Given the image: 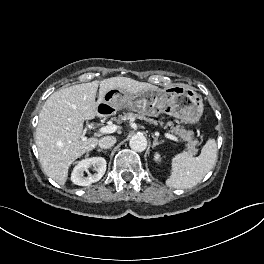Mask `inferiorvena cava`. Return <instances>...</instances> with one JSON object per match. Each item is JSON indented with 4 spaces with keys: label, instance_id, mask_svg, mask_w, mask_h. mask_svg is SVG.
I'll list each match as a JSON object with an SVG mask.
<instances>
[{
    "label": "inferior vena cava",
    "instance_id": "1",
    "mask_svg": "<svg viewBox=\"0 0 264 264\" xmlns=\"http://www.w3.org/2000/svg\"><path fill=\"white\" fill-rule=\"evenodd\" d=\"M117 139L114 136H105L99 139L98 145L102 149L112 147L116 143Z\"/></svg>",
    "mask_w": 264,
    "mask_h": 264
}]
</instances>
